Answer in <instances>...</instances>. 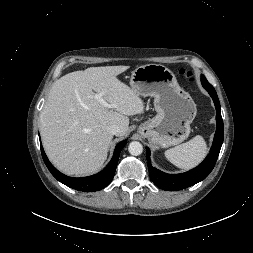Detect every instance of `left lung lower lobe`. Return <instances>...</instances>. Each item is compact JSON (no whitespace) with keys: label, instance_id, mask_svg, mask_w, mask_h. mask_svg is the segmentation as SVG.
I'll list each match as a JSON object with an SVG mask.
<instances>
[{"label":"left lung lower lobe","instance_id":"1","mask_svg":"<svg viewBox=\"0 0 253 253\" xmlns=\"http://www.w3.org/2000/svg\"><path fill=\"white\" fill-rule=\"evenodd\" d=\"M212 97L216 107L217 129L210 153L196 168L181 174H166L151 165L150 150L146 148V157L151 180L156 186L166 191H178L190 187L205 179L215 166L224 137L223 120L217 93L210 83L202 84Z\"/></svg>","mask_w":253,"mask_h":253}]
</instances>
